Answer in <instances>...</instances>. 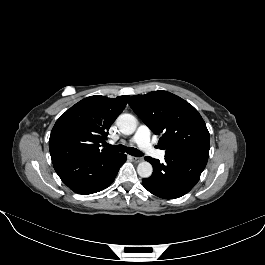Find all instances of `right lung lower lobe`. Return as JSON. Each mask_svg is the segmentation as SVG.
<instances>
[{
  "instance_id": "obj_1",
  "label": "right lung lower lobe",
  "mask_w": 265,
  "mask_h": 265,
  "mask_svg": "<svg viewBox=\"0 0 265 265\" xmlns=\"http://www.w3.org/2000/svg\"><path fill=\"white\" fill-rule=\"evenodd\" d=\"M126 155L111 153L53 164L61 180L78 194H92L107 188L115 179Z\"/></svg>"
}]
</instances>
